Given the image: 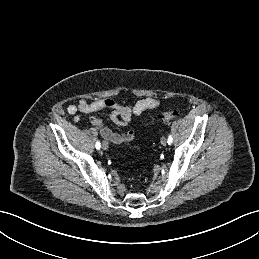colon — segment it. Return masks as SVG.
Returning a JSON list of instances; mask_svg holds the SVG:
<instances>
[{
	"mask_svg": "<svg viewBox=\"0 0 259 259\" xmlns=\"http://www.w3.org/2000/svg\"><path fill=\"white\" fill-rule=\"evenodd\" d=\"M178 113L174 110H168L159 115V120L162 123H168L177 117Z\"/></svg>",
	"mask_w": 259,
	"mask_h": 259,
	"instance_id": "colon-1",
	"label": "colon"
}]
</instances>
